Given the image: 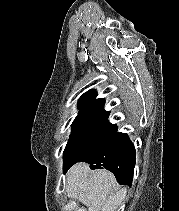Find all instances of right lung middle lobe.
Wrapping results in <instances>:
<instances>
[{"label": "right lung middle lobe", "mask_w": 179, "mask_h": 211, "mask_svg": "<svg viewBox=\"0 0 179 211\" xmlns=\"http://www.w3.org/2000/svg\"><path fill=\"white\" fill-rule=\"evenodd\" d=\"M108 112L80 113L64 150V166L73 164L105 143L117 126L108 121Z\"/></svg>", "instance_id": "obj_1"}]
</instances>
